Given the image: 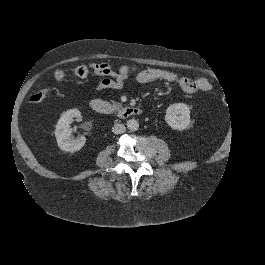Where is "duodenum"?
Here are the masks:
<instances>
[{"label": "duodenum", "mask_w": 265, "mask_h": 265, "mask_svg": "<svg viewBox=\"0 0 265 265\" xmlns=\"http://www.w3.org/2000/svg\"><path fill=\"white\" fill-rule=\"evenodd\" d=\"M90 106L95 112L99 114L115 115L122 119L138 116L142 113V109L139 107L135 106L115 107L114 105L101 99H93L90 102Z\"/></svg>", "instance_id": "duodenum-1"}]
</instances>
